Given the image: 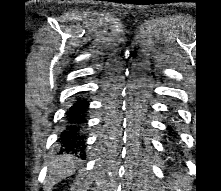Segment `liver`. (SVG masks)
<instances>
[{
  "label": "liver",
  "instance_id": "6515ba94",
  "mask_svg": "<svg viewBox=\"0 0 221 191\" xmlns=\"http://www.w3.org/2000/svg\"><path fill=\"white\" fill-rule=\"evenodd\" d=\"M74 168L73 156L66 154L60 155L51 163L48 180L52 183L57 182L73 174Z\"/></svg>",
  "mask_w": 221,
  "mask_h": 191
}]
</instances>
